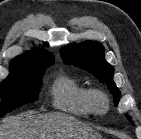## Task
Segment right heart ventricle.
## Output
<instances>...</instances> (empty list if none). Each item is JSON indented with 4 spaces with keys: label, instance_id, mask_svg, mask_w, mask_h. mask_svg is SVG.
Masks as SVG:
<instances>
[{
    "label": "right heart ventricle",
    "instance_id": "obj_1",
    "mask_svg": "<svg viewBox=\"0 0 141 139\" xmlns=\"http://www.w3.org/2000/svg\"><path fill=\"white\" fill-rule=\"evenodd\" d=\"M52 105L63 112L88 117L95 114L90 104L91 89L69 75H61L50 86Z\"/></svg>",
    "mask_w": 141,
    "mask_h": 139
}]
</instances>
